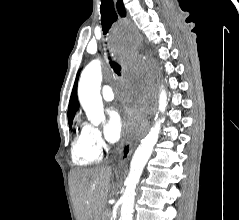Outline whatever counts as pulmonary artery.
<instances>
[{"label": "pulmonary artery", "instance_id": "1", "mask_svg": "<svg viewBox=\"0 0 239 220\" xmlns=\"http://www.w3.org/2000/svg\"><path fill=\"white\" fill-rule=\"evenodd\" d=\"M102 97L106 101H112L114 99V92L111 86L109 85L103 86Z\"/></svg>", "mask_w": 239, "mask_h": 220}]
</instances>
